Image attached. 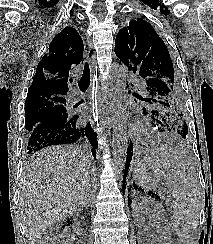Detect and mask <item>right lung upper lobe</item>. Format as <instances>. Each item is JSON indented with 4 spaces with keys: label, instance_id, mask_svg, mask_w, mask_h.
Masks as SVG:
<instances>
[{
    "label": "right lung upper lobe",
    "instance_id": "obj_1",
    "mask_svg": "<svg viewBox=\"0 0 213 244\" xmlns=\"http://www.w3.org/2000/svg\"><path fill=\"white\" fill-rule=\"evenodd\" d=\"M83 41L73 27H65L49 45V53L39 62L27 97L68 92V75L83 58ZM71 82V81H70Z\"/></svg>",
    "mask_w": 213,
    "mask_h": 244
}]
</instances>
